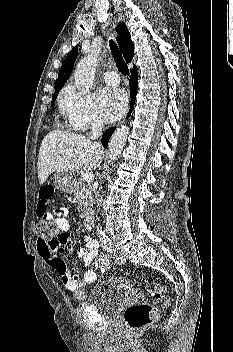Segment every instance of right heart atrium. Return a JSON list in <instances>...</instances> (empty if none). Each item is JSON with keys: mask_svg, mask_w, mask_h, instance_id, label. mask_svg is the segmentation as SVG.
<instances>
[{"mask_svg": "<svg viewBox=\"0 0 233 352\" xmlns=\"http://www.w3.org/2000/svg\"><path fill=\"white\" fill-rule=\"evenodd\" d=\"M59 107L68 126L74 131H85L102 124L93 99L89 95L77 91L72 85L63 89Z\"/></svg>", "mask_w": 233, "mask_h": 352, "instance_id": "1", "label": "right heart atrium"}]
</instances>
